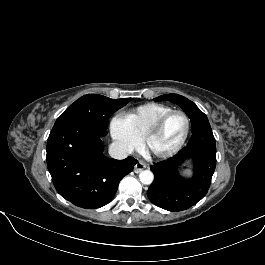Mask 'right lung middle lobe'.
Segmentation results:
<instances>
[{"label":"right lung middle lobe","mask_w":265,"mask_h":265,"mask_svg":"<svg viewBox=\"0 0 265 265\" xmlns=\"http://www.w3.org/2000/svg\"><path fill=\"white\" fill-rule=\"evenodd\" d=\"M130 100L131 98L110 99L98 94L84 95L58 117L54 126L79 122L99 127L106 132L109 117Z\"/></svg>","instance_id":"obj_1"}]
</instances>
